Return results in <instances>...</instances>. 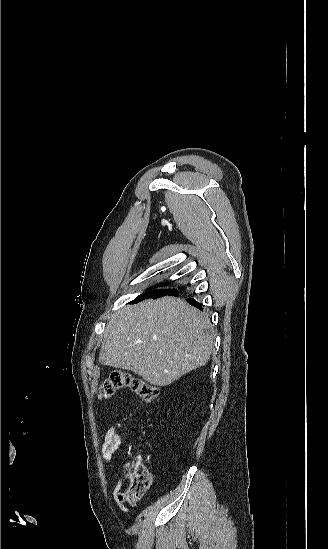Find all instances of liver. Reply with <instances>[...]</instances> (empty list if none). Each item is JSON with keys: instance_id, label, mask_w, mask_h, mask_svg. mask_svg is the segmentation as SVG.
I'll list each match as a JSON object with an SVG mask.
<instances>
[{"instance_id": "6515ba94", "label": "liver", "mask_w": 328, "mask_h": 549, "mask_svg": "<svg viewBox=\"0 0 328 549\" xmlns=\"http://www.w3.org/2000/svg\"><path fill=\"white\" fill-rule=\"evenodd\" d=\"M213 339L208 317L183 299H148L111 315L99 363L166 387L208 363Z\"/></svg>"}]
</instances>
